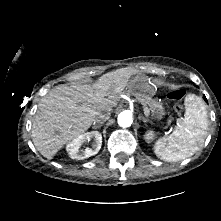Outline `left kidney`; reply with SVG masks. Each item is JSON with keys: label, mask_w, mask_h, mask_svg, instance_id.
Returning a JSON list of instances; mask_svg holds the SVG:
<instances>
[{"label": "left kidney", "mask_w": 221, "mask_h": 221, "mask_svg": "<svg viewBox=\"0 0 221 221\" xmlns=\"http://www.w3.org/2000/svg\"><path fill=\"white\" fill-rule=\"evenodd\" d=\"M144 138L147 142L152 141L154 138V132L153 131L146 132V134L144 135Z\"/></svg>", "instance_id": "obj_1"}]
</instances>
